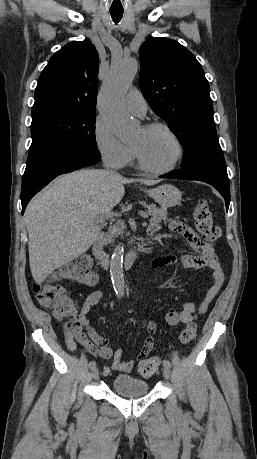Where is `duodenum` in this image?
<instances>
[{
    "instance_id": "duodenum-1",
    "label": "duodenum",
    "mask_w": 257,
    "mask_h": 459,
    "mask_svg": "<svg viewBox=\"0 0 257 459\" xmlns=\"http://www.w3.org/2000/svg\"><path fill=\"white\" fill-rule=\"evenodd\" d=\"M148 235L151 236L153 233L150 231ZM93 253L98 260L99 264L103 267H107L110 261V257L104 251V235L98 233L92 244ZM140 253L137 249H133L126 254L125 266L127 268L132 267L139 259Z\"/></svg>"
}]
</instances>
